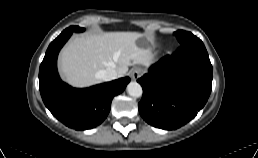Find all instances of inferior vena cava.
Instances as JSON below:
<instances>
[{"mask_svg": "<svg viewBox=\"0 0 258 158\" xmlns=\"http://www.w3.org/2000/svg\"><path fill=\"white\" fill-rule=\"evenodd\" d=\"M97 77L103 81H111L118 77V74L115 69L113 68H106L104 70H101L97 73Z\"/></svg>", "mask_w": 258, "mask_h": 158, "instance_id": "602c4592", "label": "inferior vena cava"}]
</instances>
